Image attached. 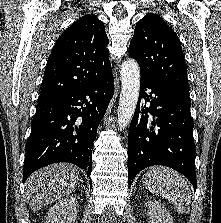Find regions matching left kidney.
<instances>
[{
  "label": "left kidney",
  "instance_id": "left-kidney-1",
  "mask_svg": "<svg viewBox=\"0 0 221 223\" xmlns=\"http://www.w3.org/2000/svg\"><path fill=\"white\" fill-rule=\"evenodd\" d=\"M150 223H173L172 216L160 202H151L148 206Z\"/></svg>",
  "mask_w": 221,
  "mask_h": 223
}]
</instances>
